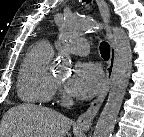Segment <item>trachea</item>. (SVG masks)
<instances>
[{
    "label": "trachea",
    "instance_id": "3493384b",
    "mask_svg": "<svg viewBox=\"0 0 144 137\" xmlns=\"http://www.w3.org/2000/svg\"><path fill=\"white\" fill-rule=\"evenodd\" d=\"M87 3H90L91 0H85ZM100 53L104 59H109L110 57V46L107 42H102L100 44Z\"/></svg>",
    "mask_w": 144,
    "mask_h": 137
}]
</instances>
